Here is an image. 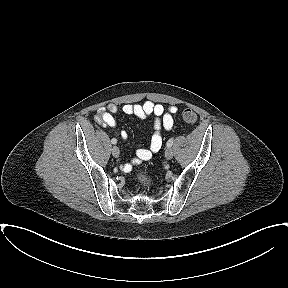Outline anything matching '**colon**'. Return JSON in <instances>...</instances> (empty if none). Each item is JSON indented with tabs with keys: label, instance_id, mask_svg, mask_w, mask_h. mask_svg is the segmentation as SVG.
Listing matches in <instances>:
<instances>
[{
	"label": "colon",
	"instance_id": "5ec220e1",
	"mask_svg": "<svg viewBox=\"0 0 288 288\" xmlns=\"http://www.w3.org/2000/svg\"><path fill=\"white\" fill-rule=\"evenodd\" d=\"M182 118L185 123L193 125L197 122V115L190 109H186L182 112ZM139 180L141 184L145 187L150 185V180L144 174L139 175Z\"/></svg>",
	"mask_w": 288,
	"mask_h": 288
}]
</instances>
